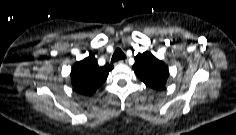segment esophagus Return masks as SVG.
I'll use <instances>...</instances> for the list:
<instances>
[{"label": "esophagus", "mask_w": 236, "mask_h": 135, "mask_svg": "<svg viewBox=\"0 0 236 135\" xmlns=\"http://www.w3.org/2000/svg\"><path fill=\"white\" fill-rule=\"evenodd\" d=\"M126 63H127V59H122L117 62V64H126Z\"/></svg>", "instance_id": "obj_1"}]
</instances>
